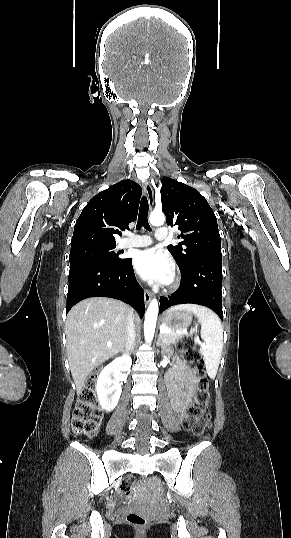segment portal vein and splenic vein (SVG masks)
Listing matches in <instances>:
<instances>
[{
  "label": "portal vein and splenic vein",
  "instance_id": "portal-vein-and-splenic-vein-1",
  "mask_svg": "<svg viewBox=\"0 0 291 538\" xmlns=\"http://www.w3.org/2000/svg\"><path fill=\"white\" fill-rule=\"evenodd\" d=\"M160 332H171V331L162 326L161 329H160ZM178 334H181V332H178ZM194 341L197 344H201L198 337H195Z\"/></svg>",
  "mask_w": 291,
  "mask_h": 538
}]
</instances>
